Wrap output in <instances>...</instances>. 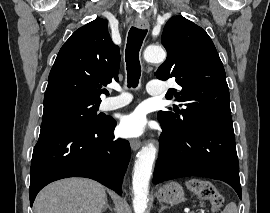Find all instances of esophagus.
Listing matches in <instances>:
<instances>
[{
    "instance_id": "1",
    "label": "esophagus",
    "mask_w": 270,
    "mask_h": 213,
    "mask_svg": "<svg viewBox=\"0 0 270 213\" xmlns=\"http://www.w3.org/2000/svg\"><path fill=\"white\" fill-rule=\"evenodd\" d=\"M135 26L139 29H148L149 22L146 19H137L135 20ZM130 145L133 151H137L141 147V141L131 140Z\"/></svg>"
}]
</instances>
